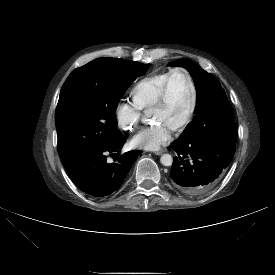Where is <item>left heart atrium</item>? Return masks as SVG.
<instances>
[{"mask_svg": "<svg viewBox=\"0 0 275 275\" xmlns=\"http://www.w3.org/2000/svg\"><path fill=\"white\" fill-rule=\"evenodd\" d=\"M173 130L174 128L168 124L155 121V123L140 130L132 138V143L137 148L157 150L170 141Z\"/></svg>", "mask_w": 275, "mask_h": 275, "instance_id": "1", "label": "left heart atrium"}]
</instances>
